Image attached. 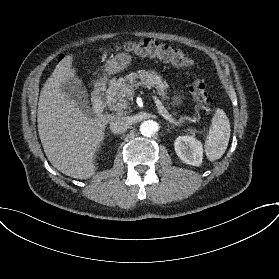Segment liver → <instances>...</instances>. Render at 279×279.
Listing matches in <instances>:
<instances>
[{
	"instance_id": "6515ba94",
	"label": "liver",
	"mask_w": 279,
	"mask_h": 279,
	"mask_svg": "<svg viewBox=\"0 0 279 279\" xmlns=\"http://www.w3.org/2000/svg\"><path fill=\"white\" fill-rule=\"evenodd\" d=\"M77 78L75 56L66 55L41 90L37 121L39 138L51 165L66 176L83 180L96 173L94 157L114 115L89 119L75 102L69 100L62 92L63 85Z\"/></svg>"
}]
</instances>
